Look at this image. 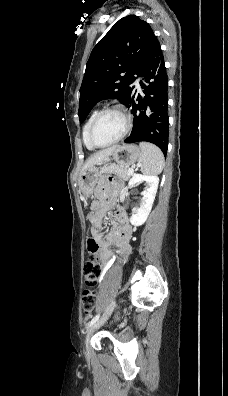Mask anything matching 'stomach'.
Instances as JSON below:
<instances>
[{
  "instance_id": "obj_1",
  "label": "stomach",
  "mask_w": 228,
  "mask_h": 396,
  "mask_svg": "<svg viewBox=\"0 0 228 396\" xmlns=\"http://www.w3.org/2000/svg\"><path fill=\"white\" fill-rule=\"evenodd\" d=\"M141 150L135 144H125L118 148L107 158L98 164L84 170L79 178V188L82 195L87 199L92 196L96 183L103 170L114 161L117 165L129 167L140 159Z\"/></svg>"
}]
</instances>
